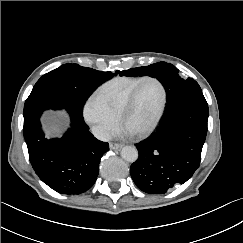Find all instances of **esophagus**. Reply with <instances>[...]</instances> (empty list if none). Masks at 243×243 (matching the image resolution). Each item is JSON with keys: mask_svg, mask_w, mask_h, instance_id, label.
I'll use <instances>...</instances> for the list:
<instances>
[{"mask_svg": "<svg viewBox=\"0 0 243 243\" xmlns=\"http://www.w3.org/2000/svg\"><path fill=\"white\" fill-rule=\"evenodd\" d=\"M121 148H122L121 144H118V143H111L110 144V149H112V150H120Z\"/></svg>", "mask_w": 243, "mask_h": 243, "instance_id": "1", "label": "esophagus"}]
</instances>
